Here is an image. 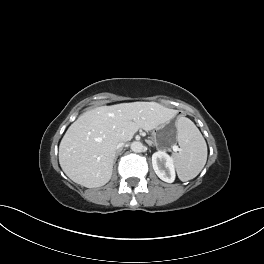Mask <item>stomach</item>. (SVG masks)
<instances>
[{
  "label": "stomach",
  "instance_id": "stomach-1",
  "mask_svg": "<svg viewBox=\"0 0 264 264\" xmlns=\"http://www.w3.org/2000/svg\"><path fill=\"white\" fill-rule=\"evenodd\" d=\"M172 135L164 126L158 127L153 132V140L158 147H167L171 144Z\"/></svg>",
  "mask_w": 264,
  "mask_h": 264
}]
</instances>
